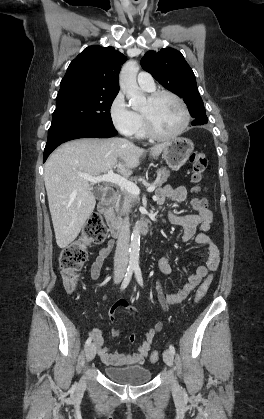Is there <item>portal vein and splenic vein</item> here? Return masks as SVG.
<instances>
[{"mask_svg": "<svg viewBox=\"0 0 264 419\" xmlns=\"http://www.w3.org/2000/svg\"><path fill=\"white\" fill-rule=\"evenodd\" d=\"M81 176L89 180L92 184L100 183V182H109V183L117 184L118 186H120L121 188H123L130 194H133L136 196L140 194V189L135 183L129 181L128 179L120 175L115 174L113 170H109L107 174L97 176V177H93L86 174H82ZM154 190H155V184L150 185L147 188L148 192H153Z\"/></svg>", "mask_w": 264, "mask_h": 419, "instance_id": "portal-vein-and-splenic-vein-1", "label": "portal vein and splenic vein"}]
</instances>
